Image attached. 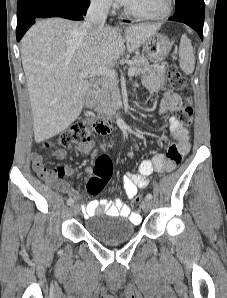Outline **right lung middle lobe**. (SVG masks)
Returning <instances> with one entry per match:
<instances>
[{"label":"right lung middle lobe","mask_w":227,"mask_h":298,"mask_svg":"<svg viewBox=\"0 0 227 298\" xmlns=\"http://www.w3.org/2000/svg\"><path fill=\"white\" fill-rule=\"evenodd\" d=\"M30 1H32V0H18L17 8L29 3Z\"/></svg>","instance_id":"1"}]
</instances>
